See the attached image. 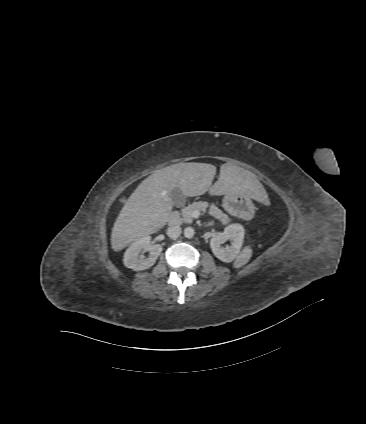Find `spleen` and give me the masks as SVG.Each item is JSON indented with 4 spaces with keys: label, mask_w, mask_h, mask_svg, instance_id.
<instances>
[{
    "label": "spleen",
    "mask_w": 366,
    "mask_h": 424,
    "mask_svg": "<svg viewBox=\"0 0 366 424\" xmlns=\"http://www.w3.org/2000/svg\"><path fill=\"white\" fill-rule=\"evenodd\" d=\"M252 256V249L250 246L243 248L242 252L237 256V259L234 263L235 268H240L247 264Z\"/></svg>",
    "instance_id": "obj_1"
}]
</instances>
